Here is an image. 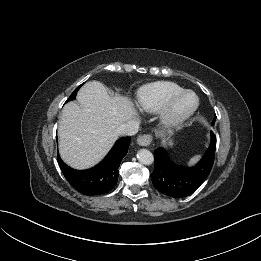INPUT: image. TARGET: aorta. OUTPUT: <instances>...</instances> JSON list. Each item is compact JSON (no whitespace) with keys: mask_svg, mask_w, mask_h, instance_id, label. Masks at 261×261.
Returning <instances> with one entry per match:
<instances>
[{"mask_svg":"<svg viewBox=\"0 0 261 261\" xmlns=\"http://www.w3.org/2000/svg\"><path fill=\"white\" fill-rule=\"evenodd\" d=\"M137 158L140 163L144 165H150L154 161L153 154L147 149H141L137 153Z\"/></svg>","mask_w":261,"mask_h":261,"instance_id":"1","label":"aorta"}]
</instances>
